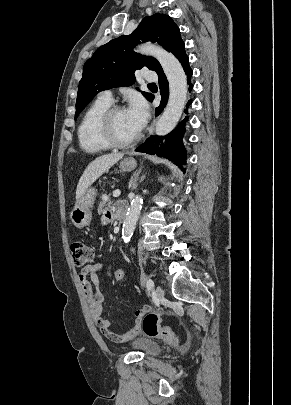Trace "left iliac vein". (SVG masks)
I'll return each instance as SVG.
<instances>
[{
    "mask_svg": "<svg viewBox=\"0 0 291 405\" xmlns=\"http://www.w3.org/2000/svg\"><path fill=\"white\" fill-rule=\"evenodd\" d=\"M155 295H156V297L158 299L163 298L164 297V290L160 286H157L156 289H155Z\"/></svg>",
    "mask_w": 291,
    "mask_h": 405,
    "instance_id": "left-iliac-vein-1",
    "label": "left iliac vein"
}]
</instances>
